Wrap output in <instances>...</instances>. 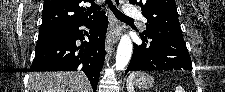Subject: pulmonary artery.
<instances>
[{
    "label": "pulmonary artery",
    "mask_w": 225,
    "mask_h": 92,
    "mask_svg": "<svg viewBox=\"0 0 225 92\" xmlns=\"http://www.w3.org/2000/svg\"><path fill=\"white\" fill-rule=\"evenodd\" d=\"M127 16L129 18H131V19L132 18H138L142 22H145L146 21V18L140 12H138L137 10H129L127 12Z\"/></svg>",
    "instance_id": "e3ab8cb5"
}]
</instances>
